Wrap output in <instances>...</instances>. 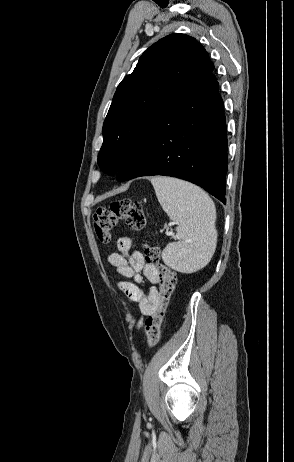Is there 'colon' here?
<instances>
[{"label": "colon", "mask_w": 294, "mask_h": 462, "mask_svg": "<svg viewBox=\"0 0 294 462\" xmlns=\"http://www.w3.org/2000/svg\"><path fill=\"white\" fill-rule=\"evenodd\" d=\"M118 222H123L133 230L144 228L146 217L141 204L130 199H124L98 209L93 218L97 239L101 243H108ZM144 257L147 264L156 267L158 275L157 307L146 320V343L149 347H153L160 340L162 324L176 288L177 277L172 269L161 262V253L157 247L146 245Z\"/></svg>", "instance_id": "5ec220e1"}]
</instances>
